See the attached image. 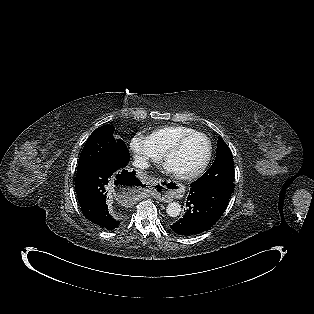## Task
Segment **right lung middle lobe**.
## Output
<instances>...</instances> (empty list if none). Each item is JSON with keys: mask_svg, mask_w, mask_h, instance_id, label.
I'll return each mask as SVG.
<instances>
[{"mask_svg": "<svg viewBox=\"0 0 314 314\" xmlns=\"http://www.w3.org/2000/svg\"><path fill=\"white\" fill-rule=\"evenodd\" d=\"M113 126L97 128L88 138L79 157L77 175L113 162H129V151L122 140L115 139Z\"/></svg>", "mask_w": 314, "mask_h": 314, "instance_id": "right-lung-middle-lobe-1", "label": "right lung middle lobe"}]
</instances>
